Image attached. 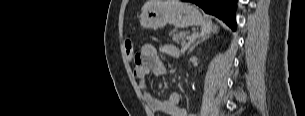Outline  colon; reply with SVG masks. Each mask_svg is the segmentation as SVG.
Returning <instances> with one entry per match:
<instances>
[{
	"label": "colon",
	"mask_w": 305,
	"mask_h": 116,
	"mask_svg": "<svg viewBox=\"0 0 305 116\" xmlns=\"http://www.w3.org/2000/svg\"><path fill=\"white\" fill-rule=\"evenodd\" d=\"M125 54L129 61L137 58V55L134 53V45L131 39H127L124 44Z\"/></svg>",
	"instance_id": "colon-1"
}]
</instances>
